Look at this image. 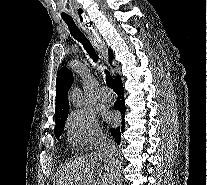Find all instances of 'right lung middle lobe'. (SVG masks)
Here are the masks:
<instances>
[{"label":"right lung middle lobe","instance_id":"1","mask_svg":"<svg viewBox=\"0 0 207 185\" xmlns=\"http://www.w3.org/2000/svg\"><path fill=\"white\" fill-rule=\"evenodd\" d=\"M63 129H64V126L55 129V134H56L57 139H59V137L61 136Z\"/></svg>","mask_w":207,"mask_h":185}]
</instances>
